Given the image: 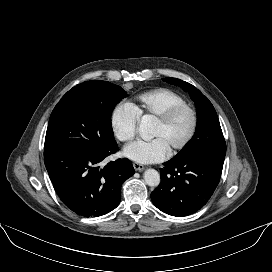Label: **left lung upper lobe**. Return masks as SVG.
Returning a JSON list of instances; mask_svg holds the SVG:
<instances>
[{
  "instance_id": "1",
  "label": "left lung upper lobe",
  "mask_w": 272,
  "mask_h": 272,
  "mask_svg": "<svg viewBox=\"0 0 272 272\" xmlns=\"http://www.w3.org/2000/svg\"><path fill=\"white\" fill-rule=\"evenodd\" d=\"M163 80L182 87L188 92L197 109L196 132L191 141L174 158L191 155L224 163L226 143L217 113L211 102L200 90L185 81L169 77Z\"/></svg>"
}]
</instances>
